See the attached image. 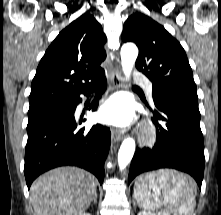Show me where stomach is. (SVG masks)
<instances>
[{
    "label": "stomach",
    "instance_id": "obj_1",
    "mask_svg": "<svg viewBox=\"0 0 221 215\" xmlns=\"http://www.w3.org/2000/svg\"><path fill=\"white\" fill-rule=\"evenodd\" d=\"M162 172L163 171H159V172H154V173L144 175L143 176L145 178L144 182L149 184V179H148L149 175H152L153 179L156 181L161 176Z\"/></svg>",
    "mask_w": 221,
    "mask_h": 215
}]
</instances>
